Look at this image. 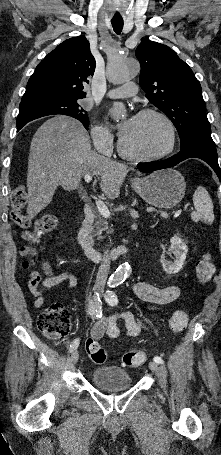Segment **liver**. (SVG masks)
Returning <instances> with one entry per match:
<instances>
[{"label":"liver","mask_w":221,"mask_h":455,"mask_svg":"<svg viewBox=\"0 0 221 455\" xmlns=\"http://www.w3.org/2000/svg\"><path fill=\"white\" fill-rule=\"evenodd\" d=\"M128 167L91 149L90 137L76 119L57 115L44 122L31 141L28 159L27 215L34 218L52 201L58 186L71 191L86 174L100 175V188L109 198L120 194Z\"/></svg>","instance_id":"liver-1"}]
</instances>
